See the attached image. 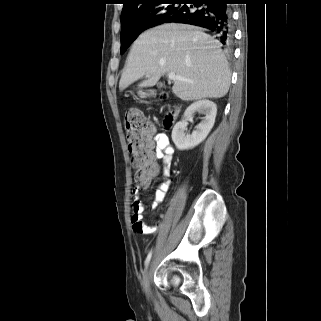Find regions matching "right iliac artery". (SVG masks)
<instances>
[{
	"instance_id": "82829eb1",
	"label": "right iliac artery",
	"mask_w": 321,
	"mask_h": 321,
	"mask_svg": "<svg viewBox=\"0 0 321 321\" xmlns=\"http://www.w3.org/2000/svg\"><path fill=\"white\" fill-rule=\"evenodd\" d=\"M152 257V250L148 253L147 257H146V260H145V267L148 266L149 262H150V259Z\"/></svg>"
}]
</instances>
